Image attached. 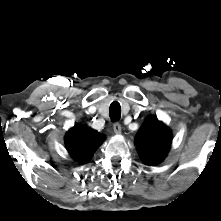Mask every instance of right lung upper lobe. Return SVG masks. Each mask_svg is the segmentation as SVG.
<instances>
[{
	"mask_svg": "<svg viewBox=\"0 0 221 221\" xmlns=\"http://www.w3.org/2000/svg\"><path fill=\"white\" fill-rule=\"evenodd\" d=\"M98 135V132L76 124L66 135L67 150L76 161L85 163L102 143Z\"/></svg>",
	"mask_w": 221,
	"mask_h": 221,
	"instance_id": "1",
	"label": "right lung upper lobe"
}]
</instances>
